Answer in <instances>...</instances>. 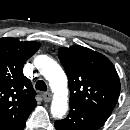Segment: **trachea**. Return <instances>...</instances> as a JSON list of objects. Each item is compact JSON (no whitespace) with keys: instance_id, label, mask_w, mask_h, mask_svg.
I'll return each instance as SVG.
<instances>
[{"instance_id":"1","label":"trachea","mask_w":130,"mask_h":130,"mask_svg":"<svg viewBox=\"0 0 130 130\" xmlns=\"http://www.w3.org/2000/svg\"><path fill=\"white\" fill-rule=\"evenodd\" d=\"M35 88L39 91H47V85L43 80H38L36 82Z\"/></svg>"}]
</instances>
